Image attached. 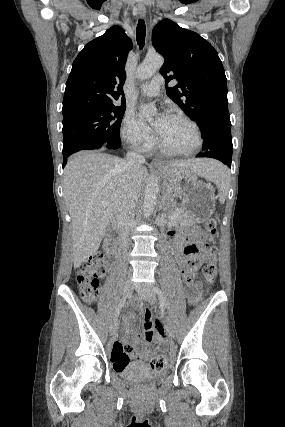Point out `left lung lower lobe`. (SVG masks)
I'll use <instances>...</instances> for the list:
<instances>
[{
    "instance_id": "0a47b994",
    "label": "left lung lower lobe",
    "mask_w": 285,
    "mask_h": 427,
    "mask_svg": "<svg viewBox=\"0 0 285 427\" xmlns=\"http://www.w3.org/2000/svg\"><path fill=\"white\" fill-rule=\"evenodd\" d=\"M199 127L204 141L203 151L196 157L214 158L231 167L233 151L231 122L211 119L204 121Z\"/></svg>"
}]
</instances>
